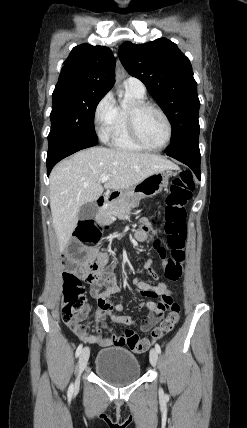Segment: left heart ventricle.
Segmentation results:
<instances>
[{
  "label": "left heart ventricle",
  "instance_id": "b2bd125f",
  "mask_svg": "<svg viewBox=\"0 0 247 428\" xmlns=\"http://www.w3.org/2000/svg\"><path fill=\"white\" fill-rule=\"evenodd\" d=\"M137 128L143 140L153 146L161 145L167 137V126L162 116L145 109L137 116Z\"/></svg>",
  "mask_w": 247,
  "mask_h": 428
}]
</instances>
